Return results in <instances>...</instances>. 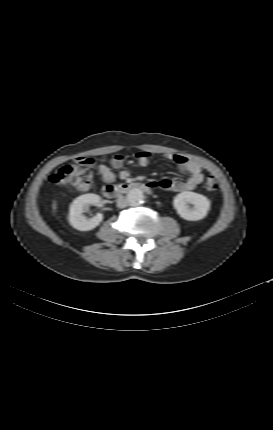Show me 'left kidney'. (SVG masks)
I'll list each match as a JSON object with an SVG mask.
<instances>
[{
  "label": "left kidney",
  "instance_id": "1",
  "mask_svg": "<svg viewBox=\"0 0 273 430\" xmlns=\"http://www.w3.org/2000/svg\"><path fill=\"white\" fill-rule=\"evenodd\" d=\"M173 205L179 216L188 221L203 219L210 209V201L206 196L191 191L178 194Z\"/></svg>",
  "mask_w": 273,
  "mask_h": 430
}]
</instances>
